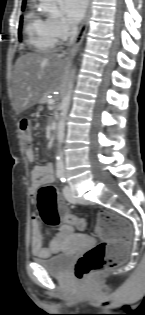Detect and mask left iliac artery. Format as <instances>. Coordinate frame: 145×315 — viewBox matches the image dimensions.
Here are the masks:
<instances>
[{"mask_svg":"<svg viewBox=\"0 0 145 315\" xmlns=\"http://www.w3.org/2000/svg\"><path fill=\"white\" fill-rule=\"evenodd\" d=\"M60 180H61L62 183H65L66 179H65L64 175H62V177L60 178Z\"/></svg>","mask_w":145,"mask_h":315,"instance_id":"44dca946","label":"left iliac artery"}]
</instances>
